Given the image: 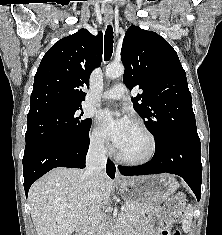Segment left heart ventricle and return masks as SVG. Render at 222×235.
<instances>
[{
	"mask_svg": "<svg viewBox=\"0 0 222 235\" xmlns=\"http://www.w3.org/2000/svg\"><path fill=\"white\" fill-rule=\"evenodd\" d=\"M151 150L149 137L138 127L132 125L126 139L118 151L124 157L141 159L146 157Z\"/></svg>",
	"mask_w": 222,
	"mask_h": 235,
	"instance_id": "left-heart-ventricle-1",
	"label": "left heart ventricle"
}]
</instances>
